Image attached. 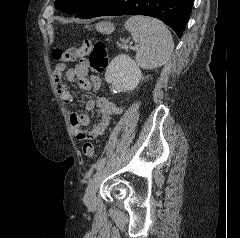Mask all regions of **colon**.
<instances>
[{
    "label": "colon",
    "mask_w": 240,
    "mask_h": 238,
    "mask_svg": "<svg viewBox=\"0 0 240 238\" xmlns=\"http://www.w3.org/2000/svg\"><path fill=\"white\" fill-rule=\"evenodd\" d=\"M85 56H88L89 65L94 72L101 73L107 67V49L102 41L86 39L80 47L68 48L65 51L54 49L52 52L54 60L64 62L75 61ZM82 150L83 154L88 158H93L95 156V148L91 142H85Z\"/></svg>",
    "instance_id": "obj_1"
}]
</instances>
